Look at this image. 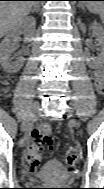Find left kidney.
Here are the masks:
<instances>
[{"mask_svg": "<svg viewBox=\"0 0 104 189\" xmlns=\"http://www.w3.org/2000/svg\"><path fill=\"white\" fill-rule=\"evenodd\" d=\"M92 30H93V35L97 38V40L99 41V45L102 47L103 46V35H104L103 28L100 27L97 23H95L92 26ZM103 59H104L103 53H101L96 58H92V57H90V55H87V57H86V61L90 66L102 64Z\"/></svg>", "mask_w": 104, "mask_h": 189, "instance_id": "left-kidney-1", "label": "left kidney"}]
</instances>
